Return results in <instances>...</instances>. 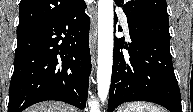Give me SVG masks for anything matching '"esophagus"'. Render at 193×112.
Masks as SVG:
<instances>
[{
	"label": "esophagus",
	"mask_w": 193,
	"mask_h": 112,
	"mask_svg": "<svg viewBox=\"0 0 193 112\" xmlns=\"http://www.w3.org/2000/svg\"><path fill=\"white\" fill-rule=\"evenodd\" d=\"M95 35H96L95 32L91 30L89 35V41H90V50L92 55L94 52Z\"/></svg>",
	"instance_id": "esophagus-1"
}]
</instances>
